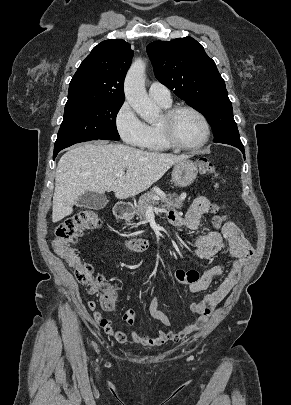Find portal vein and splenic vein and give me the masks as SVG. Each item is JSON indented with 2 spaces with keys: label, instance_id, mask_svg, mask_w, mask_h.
<instances>
[{
  "label": "portal vein and splenic vein",
  "instance_id": "portal-vein-and-splenic-vein-1",
  "mask_svg": "<svg viewBox=\"0 0 291 405\" xmlns=\"http://www.w3.org/2000/svg\"><path fill=\"white\" fill-rule=\"evenodd\" d=\"M124 174H125L124 171H119V172H117V173L115 174V177H116V178H121V177H123ZM160 199H161V198L158 197V196H155V197H154V200H160Z\"/></svg>",
  "mask_w": 291,
  "mask_h": 405
}]
</instances>
